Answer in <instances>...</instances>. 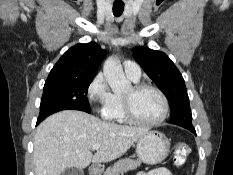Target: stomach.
Returning a JSON list of instances; mask_svg holds the SVG:
<instances>
[{"mask_svg":"<svg viewBox=\"0 0 233 175\" xmlns=\"http://www.w3.org/2000/svg\"><path fill=\"white\" fill-rule=\"evenodd\" d=\"M169 150V140L159 131H148L137 140L136 153L139 160L145 164L155 165L162 162Z\"/></svg>","mask_w":233,"mask_h":175,"instance_id":"1","label":"stomach"}]
</instances>
